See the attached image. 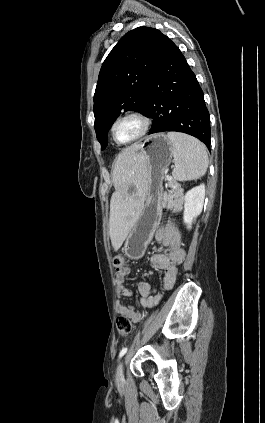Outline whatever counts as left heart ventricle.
<instances>
[{
  "label": "left heart ventricle",
  "instance_id": "left-heart-ventricle-1",
  "mask_svg": "<svg viewBox=\"0 0 265 423\" xmlns=\"http://www.w3.org/2000/svg\"><path fill=\"white\" fill-rule=\"evenodd\" d=\"M139 130L140 123L137 120H125L117 125L116 136L120 141H128L135 137Z\"/></svg>",
  "mask_w": 265,
  "mask_h": 423
}]
</instances>
